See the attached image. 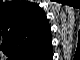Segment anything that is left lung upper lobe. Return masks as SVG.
I'll use <instances>...</instances> for the list:
<instances>
[{
  "label": "left lung upper lobe",
  "instance_id": "5c2ea615",
  "mask_svg": "<svg viewBox=\"0 0 80 60\" xmlns=\"http://www.w3.org/2000/svg\"><path fill=\"white\" fill-rule=\"evenodd\" d=\"M0 17L2 43L13 52L35 54L46 40L44 12L35 4L24 1L3 6Z\"/></svg>",
  "mask_w": 80,
  "mask_h": 60
}]
</instances>
